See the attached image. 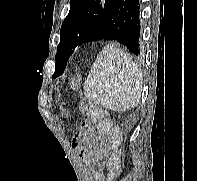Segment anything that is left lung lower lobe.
I'll list each match as a JSON object with an SVG mask.
<instances>
[{"label":"left lung lower lobe","instance_id":"0a47b994","mask_svg":"<svg viewBox=\"0 0 197 181\" xmlns=\"http://www.w3.org/2000/svg\"><path fill=\"white\" fill-rule=\"evenodd\" d=\"M141 4L139 0H114L94 31L91 41L112 40L141 54Z\"/></svg>","mask_w":197,"mask_h":181}]
</instances>
